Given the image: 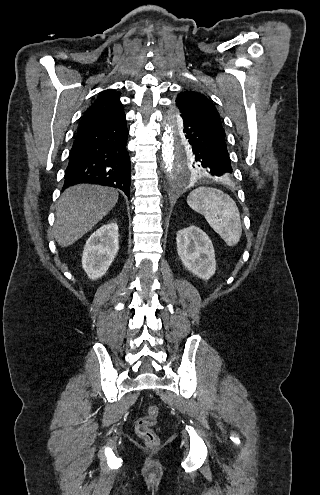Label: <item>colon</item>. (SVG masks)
<instances>
[{
	"label": "colon",
	"mask_w": 320,
	"mask_h": 495,
	"mask_svg": "<svg viewBox=\"0 0 320 495\" xmlns=\"http://www.w3.org/2000/svg\"><path fill=\"white\" fill-rule=\"evenodd\" d=\"M159 409L156 406H150L147 414L141 417L136 423V433L142 438L147 445L153 447L159 442V438L152 430V427L157 423Z\"/></svg>",
	"instance_id": "colon-1"
}]
</instances>
